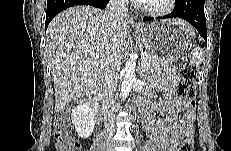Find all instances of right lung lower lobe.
Segmentation results:
<instances>
[{
  "label": "right lung lower lobe",
  "mask_w": 231,
  "mask_h": 151,
  "mask_svg": "<svg viewBox=\"0 0 231 151\" xmlns=\"http://www.w3.org/2000/svg\"><path fill=\"white\" fill-rule=\"evenodd\" d=\"M109 0H48L47 13L45 21V29H47L50 21L61 11L75 5H91L100 9H104Z\"/></svg>",
  "instance_id": "1"
}]
</instances>
